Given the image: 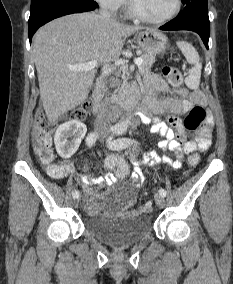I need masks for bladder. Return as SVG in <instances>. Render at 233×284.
Listing matches in <instances>:
<instances>
[{"mask_svg": "<svg viewBox=\"0 0 233 284\" xmlns=\"http://www.w3.org/2000/svg\"><path fill=\"white\" fill-rule=\"evenodd\" d=\"M137 189L127 183L121 184L99 198L101 204L122 205L132 203ZM94 196V195H93ZM97 203V199L94 196ZM85 230L94 238L114 245L124 246L144 238L152 229V219L146 213L133 212L120 215L87 216L83 220Z\"/></svg>", "mask_w": 233, "mask_h": 284, "instance_id": "1", "label": "bladder"}]
</instances>
